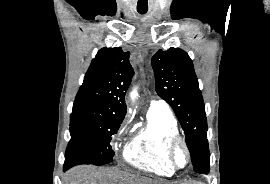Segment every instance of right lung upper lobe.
Listing matches in <instances>:
<instances>
[{
	"instance_id": "obj_1",
	"label": "right lung upper lobe",
	"mask_w": 270,
	"mask_h": 184,
	"mask_svg": "<svg viewBox=\"0 0 270 184\" xmlns=\"http://www.w3.org/2000/svg\"><path fill=\"white\" fill-rule=\"evenodd\" d=\"M133 75L129 52L120 47L102 48L92 60L74 103L88 104L100 114L124 119L125 94Z\"/></svg>"
}]
</instances>
